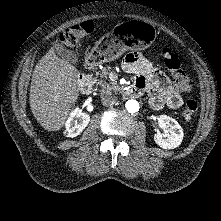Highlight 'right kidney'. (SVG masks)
Returning a JSON list of instances; mask_svg holds the SVG:
<instances>
[{"mask_svg":"<svg viewBox=\"0 0 221 221\" xmlns=\"http://www.w3.org/2000/svg\"><path fill=\"white\" fill-rule=\"evenodd\" d=\"M89 121L90 116L76 108L70 113V117L65 123V135L71 138L78 136L86 128Z\"/></svg>","mask_w":221,"mask_h":221,"instance_id":"ca27d5eb","label":"right kidney"}]
</instances>
